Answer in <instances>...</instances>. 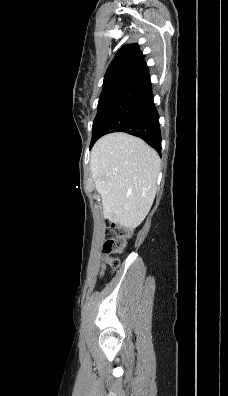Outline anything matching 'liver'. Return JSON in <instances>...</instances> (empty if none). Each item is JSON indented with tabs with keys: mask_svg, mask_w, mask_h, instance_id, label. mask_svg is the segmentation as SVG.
I'll return each instance as SVG.
<instances>
[{
	"mask_svg": "<svg viewBox=\"0 0 228 396\" xmlns=\"http://www.w3.org/2000/svg\"><path fill=\"white\" fill-rule=\"evenodd\" d=\"M91 177L110 222L131 230L149 213L160 158L142 139L118 132L103 136L90 157Z\"/></svg>",
	"mask_w": 228,
	"mask_h": 396,
	"instance_id": "6515ba94",
	"label": "liver"
}]
</instances>
